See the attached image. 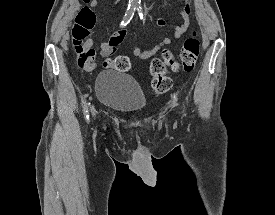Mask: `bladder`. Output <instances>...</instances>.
<instances>
[{
  "label": "bladder",
  "instance_id": "obj_1",
  "mask_svg": "<svg viewBox=\"0 0 275 215\" xmlns=\"http://www.w3.org/2000/svg\"><path fill=\"white\" fill-rule=\"evenodd\" d=\"M95 87L99 101L106 108L124 113H136L146 102L137 82L120 72L101 71L97 76Z\"/></svg>",
  "mask_w": 275,
  "mask_h": 215
}]
</instances>
